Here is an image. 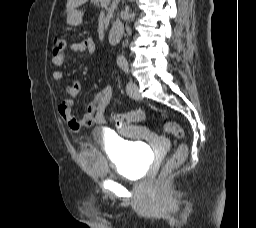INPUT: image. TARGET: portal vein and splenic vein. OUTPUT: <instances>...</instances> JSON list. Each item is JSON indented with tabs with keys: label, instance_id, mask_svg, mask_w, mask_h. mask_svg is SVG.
I'll return each mask as SVG.
<instances>
[{
	"label": "portal vein and splenic vein",
	"instance_id": "portal-vein-and-splenic-vein-1",
	"mask_svg": "<svg viewBox=\"0 0 256 228\" xmlns=\"http://www.w3.org/2000/svg\"><path fill=\"white\" fill-rule=\"evenodd\" d=\"M111 0H102L103 4H109Z\"/></svg>",
	"mask_w": 256,
	"mask_h": 228
}]
</instances>
